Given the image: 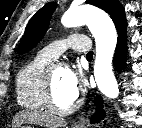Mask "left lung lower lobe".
Returning a JSON list of instances; mask_svg holds the SVG:
<instances>
[{
    "mask_svg": "<svg viewBox=\"0 0 142 128\" xmlns=\"http://www.w3.org/2000/svg\"><path fill=\"white\" fill-rule=\"evenodd\" d=\"M126 59V25L118 30V43L115 52L114 63L116 67L121 68L124 65ZM102 99H97L96 104L102 108ZM105 117L104 110L98 111L91 118V123L99 122Z\"/></svg>",
    "mask_w": 142,
    "mask_h": 128,
    "instance_id": "1",
    "label": "left lung lower lobe"
}]
</instances>
